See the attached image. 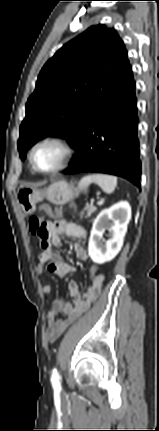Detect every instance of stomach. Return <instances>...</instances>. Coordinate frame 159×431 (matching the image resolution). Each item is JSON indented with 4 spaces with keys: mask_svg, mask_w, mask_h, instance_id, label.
Instances as JSON below:
<instances>
[{
    "mask_svg": "<svg viewBox=\"0 0 159 431\" xmlns=\"http://www.w3.org/2000/svg\"><path fill=\"white\" fill-rule=\"evenodd\" d=\"M87 184L80 182L78 186L68 184L66 181H57L49 187L39 190L37 188L21 185L16 192V199L26 214H32L36 210V204L44 198L55 205H64L86 192Z\"/></svg>",
    "mask_w": 159,
    "mask_h": 431,
    "instance_id": "0dacf381",
    "label": "stomach"
}]
</instances>
